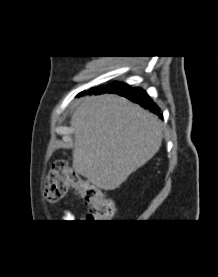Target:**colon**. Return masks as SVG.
Here are the masks:
<instances>
[{
	"instance_id": "5ec220e1",
	"label": "colon",
	"mask_w": 218,
	"mask_h": 277,
	"mask_svg": "<svg viewBox=\"0 0 218 277\" xmlns=\"http://www.w3.org/2000/svg\"><path fill=\"white\" fill-rule=\"evenodd\" d=\"M69 188L75 189L88 205V222H110L115 217L114 201L106 197L100 188L81 177L68 162H54L45 178V198L50 202L59 201Z\"/></svg>"
}]
</instances>
